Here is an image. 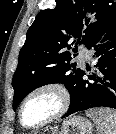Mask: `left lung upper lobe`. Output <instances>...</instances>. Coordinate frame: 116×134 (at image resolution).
<instances>
[{
    "mask_svg": "<svg viewBox=\"0 0 116 134\" xmlns=\"http://www.w3.org/2000/svg\"><path fill=\"white\" fill-rule=\"evenodd\" d=\"M55 2L52 9L43 10L36 16L27 31L12 79L14 110L31 91L51 83H63L72 99L83 70L70 63L72 56L68 43L87 47L109 11L116 6L112 0ZM86 12H96L98 22L89 24V19L84 18ZM76 51L73 48V52Z\"/></svg>",
    "mask_w": 116,
    "mask_h": 134,
    "instance_id": "5c2ea615",
    "label": "left lung upper lobe"
}]
</instances>
